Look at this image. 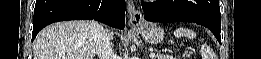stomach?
I'll use <instances>...</instances> for the list:
<instances>
[{
    "instance_id": "stomach-1",
    "label": "stomach",
    "mask_w": 261,
    "mask_h": 59,
    "mask_svg": "<svg viewBox=\"0 0 261 59\" xmlns=\"http://www.w3.org/2000/svg\"><path fill=\"white\" fill-rule=\"evenodd\" d=\"M142 37L151 44H158L164 38V30L157 24L146 22L138 26Z\"/></svg>"
}]
</instances>
